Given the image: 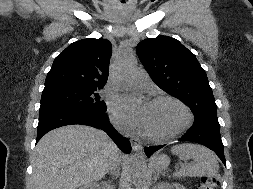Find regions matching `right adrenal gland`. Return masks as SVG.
<instances>
[{"label":"right adrenal gland","instance_id":"2a0ac1e0","mask_svg":"<svg viewBox=\"0 0 253 189\" xmlns=\"http://www.w3.org/2000/svg\"><path fill=\"white\" fill-rule=\"evenodd\" d=\"M108 173H109V172H108ZM117 176H118V175H117V174H115V175H114V178L116 179V178H117Z\"/></svg>","mask_w":253,"mask_h":189}]
</instances>
